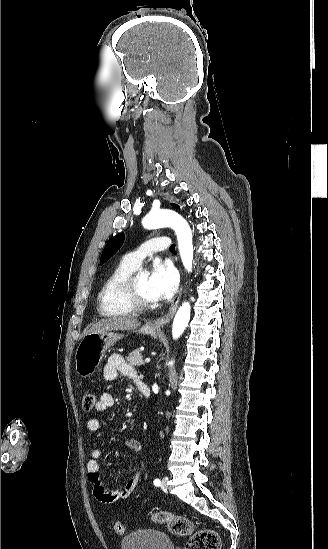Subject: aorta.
<instances>
[{
  "instance_id": "1",
  "label": "aorta",
  "mask_w": 328,
  "mask_h": 549,
  "mask_svg": "<svg viewBox=\"0 0 328 549\" xmlns=\"http://www.w3.org/2000/svg\"><path fill=\"white\" fill-rule=\"evenodd\" d=\"M146 229L171 227L178 239L179 252L182 263L188 272L192 270L193 243L192 231L187 221L175 211L161 209L150 212L142 221ZM191 313V306L184 302L178 309L172 326L173 339H178L186 329ZM172 364V362L170 363Z\"/></svg>"
}]
</instances>
